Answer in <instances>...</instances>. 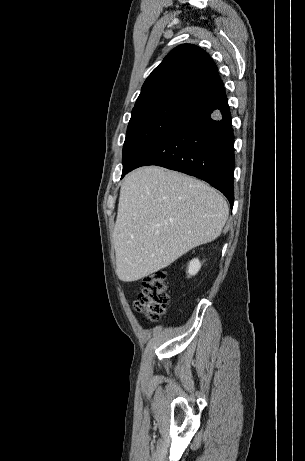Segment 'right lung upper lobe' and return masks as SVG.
<instances>
[{"label":"right lung upper lobe","instance_id":"obj_1","mask_svg":"<svg viewBox=\"0 0 305 461\" xmlns=\"http://www.w3.org/2000/svg\"><path fill=\"white\" fill-rule=\"evenodd\" d=\"M223 87L217 66L202 48H174L144 82L132 111L159 105L191 107Z\"/></svg>","mask_w":305,"mask_h":461}]
</instances>
